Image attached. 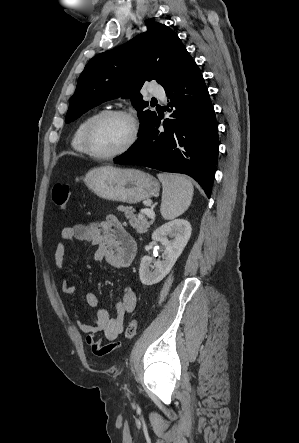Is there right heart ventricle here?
Segmentation results:
<instances>
[{
	"label": "right heart ventricle",
	"instance_id": "obj_1",
	"mask_svg": "<svg viewBox=\"0 0 299 443\" xmlns=\"http://www.w3.org/2000/svg\"><path fill=\"white\" fill-rule=\"evenodd\" d=\"M94 113L87 115L83 118L78 126L76 127L74 134L72 136L71 145L73 149L79 153L87 154L83 145V132L87 122L91 119Z\"/></svg>",
	"mask_w": 299,
	"mask_h": 443
}]
</instances>
